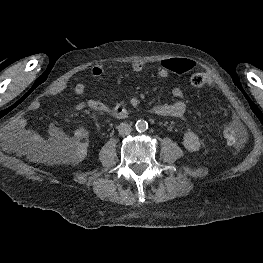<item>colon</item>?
I'll return each mask as SVG.
<instances>
[{
	"mask_svg": "<svg viewBox=\"0 0 263 263\" xmlns=\"http://www.w3.org/2000/svg\"><path fill=\"white\" fill-rule=\"evenodd\" d=\"M166 66L178 75L185 74L190 70V63L181 58H172L166 62ZM191 84L197 88L212 87L213 81L206 73H195L191 77ZM224 138L227 143L236 148L244 145L246 134L243 128L234 122L229 123L224 129ZM84 140H69L56 148L53 152L49 153L56 158H64L66 160L79 159L85 151Z\"/></svg>",
	"mask_w": 263,
	"mask_h": 263,
	"instance_id": "5ec220e1",
	"label": "colon"
}]
</instances>
